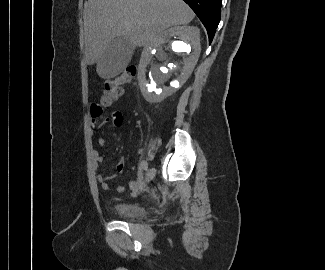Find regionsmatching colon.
<instances>
[{"label": "colon", "mask_w": 325, "mask_h": 270, "mask_svg": "<svg viewBox=\"0 0 325 270\" xmlns=\"http://www.w3.org/2000/svg\"><path fill=\"white\" fill-rule=\"evenodd\" d=\"M136 75L135 67H128L118 78L106 81L100 103L109 107L115 103L122 93V86L130 82Z\"/></svg>", "instance_id": "5ec220e1"}]
</instances>
